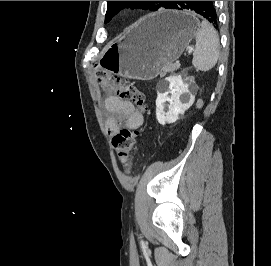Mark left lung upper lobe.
<instances>
[{
	"label": "left lung upper lobe",
	"mask_w": 271,
	"mask_h": 266,
	"mask_svg": "<svg viewBox=\"0 0 271 266\" xmlns=\"http://www.w3.org/2000/svg\"><path fill=\"white\" fill-rule=\"evenodd\" d=\"M172 1H107L105 23L109 22L114 15L125 7L149 9L156 11L166 8Z\"/></svg>",
	"instance_id": "5c2ea615"
}]
</instances>
